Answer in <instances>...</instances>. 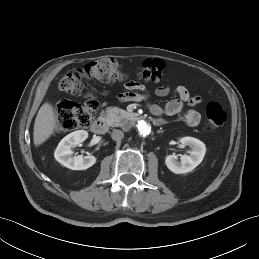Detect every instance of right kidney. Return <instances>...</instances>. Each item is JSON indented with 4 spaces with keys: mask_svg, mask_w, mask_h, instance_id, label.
Listing matches in <instances>:
<instances>
[{
    "mask_svg": "<svg viewBox=\"0 0 259 259\" xmlns=\"http://www.w3.org/2000/svg\"><path fill=\"white\" fill-rule=\"evenodd\" d=\"M87 137L88 133L85 130H78L65 136L55 150V159L65 167L72 170H85L93 166L96 163V157L92 155L72 156L73 151L71 148L85 141Z\"/></svg>",
    "mask_w": 259,
    "mask_h": 259,
    "instance_id": "1",
    "label": "right kidney"
}]
</instances>
